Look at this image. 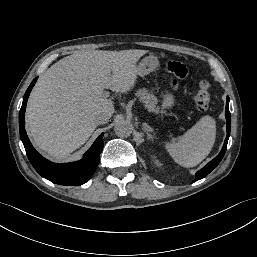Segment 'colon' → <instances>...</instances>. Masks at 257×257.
Segmentation results:
<instances>
[{"mask_svg": "<svg viewBox=\"0 0 257 257\" xmlns=\"http://www.w3.org/2000/svg\"><path fill=\"white\" fill-rule=\"evenodd\" d=\"M209 90L210 85L207 81H203L200 83L198 91L194 98L195 106L200 112L207 111L210 106L211 96Z\"/></svg>", "mask_w": 257, "mask_h": 257, "instance_id": "1", "label": "colon"}]
</instances>
